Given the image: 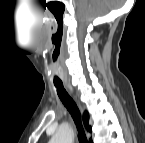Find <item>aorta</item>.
Wrapping results in <instances>:
<instances>
[{"mask_svg": "<svg viewBox=\"0 0 145 143\" xmlns=\"http://www.w3.org/2000/svg\"><path fill=\"white\" fill-rule=\"evenodd\" d=\"M73 131L71 129H60L51 139L52 143H72Z\"/></svg>", "mask_w": 145, "mask_h": 143, "instance_id": "obj_1", "label": "aorta"}]
</instances>
